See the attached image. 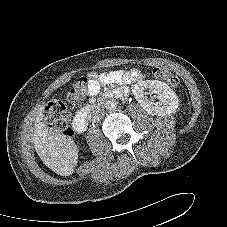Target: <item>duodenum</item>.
<instances>
[{
	"mask_svg": "<svg viewBox=\"0 0 227 227\" xmlns=\"http://www.w3.org/2000/svg\"><path fill=\"white\" fill-rule=\"evenodd\" d=\"M89 113L90 109H84L75 116L73 120V127L76 131L83 132L86 130L88 126Z\"/></svg>",
	"mask_w": 227,
	"mask_h": 227,
	"instance_id": "obj_1",
	"label": "duodenum"
}]
</instances>
